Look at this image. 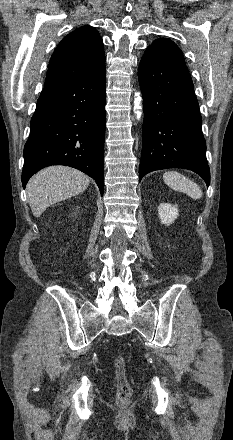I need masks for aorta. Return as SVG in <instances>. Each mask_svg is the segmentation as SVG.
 I'll use <instances>...</instances> for the list:
<instances>
[{
  "label": "aorta",
  "mask_w": 233,
  "mask_h": 440,
  "mask_svg": "<svg viewBox=\"0 0 233 440\" xmlns=\"http://www.w3.org/2000/svg\"><path fill=\"white\" fill-rule=\"evenodd\" d=\"M134 105H135L134 109H135L136 117L139 120L141 119L143 113L142 97L140 96V93H136Z\"/></svg>",
  "instance_id": "1"
}]
</instances>
